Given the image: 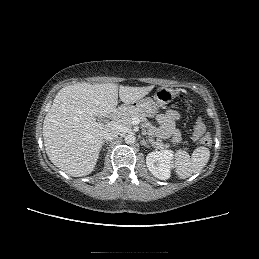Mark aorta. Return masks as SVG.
Returning <instances> with one entry per match:
<instances>
[{"instance_id": "1", "label": "aorta", "mask_w": 259, "mask_h": 259, "mask_svg": "<svg viewBox=\"0 0 259 259\" xmlns=\"http://www.w3.org/2000/svg\"><path fill=\"white\" fill-rule=\"evenodd\" d=\"M135 142V136L133 134H128L125 136L126 144H133Z\"/></svg>"}]
</instances>
